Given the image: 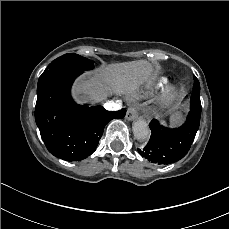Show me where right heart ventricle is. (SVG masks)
Instances as JSON below:
<instances>
[{"label":"right heart ventricle","instance_id":"right-heart-ventricle-1","mask_svg":"<svg viewBox=\"0 0 229 229\" xmlns=\"http://www.w3.org/2000/svg\"><path fill=\"white\" fill-rule=\"evenodd\" d=\"M168 82L167 78L166 77H162L158 80L157 82V86L158 87H163L164 85H166Z\"/></svg>","mask_w":229,"mask_h":229}]
</instances>
